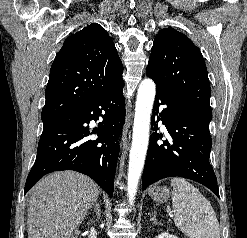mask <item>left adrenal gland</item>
<instances>
[{
  "label": "left adrenal gland",
  "instance_id": "1",
  "mask_svg": "<svg viewBox=\"0 0 247 238\" xmlns=\"http://www.w3.org/2000/svg\"><path fill=\"white\" fill-rule=\"evenodd\" d=\"M150 221H152L154 225H158L156 221V212H154L153 217H150Z\"/></svg>",
  "mask_w": 247,
  "mask_h": 238
}]
</instances>
